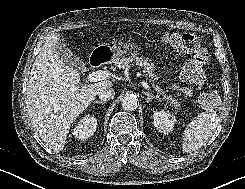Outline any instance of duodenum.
Returning <instances> with one entry per match:
<instances>
[{
  "label": "duodenum",
  "mask_w": 245,
  "mask_h": 189,
  "mask_svg": "<svg viewBox=\"0 0 245 189\" xmlns=\"http://www.w3.org/2000/svg\"><path fill=\"white\" fill-rule=\"evenodd\" d=\"M112 58V53L109 50L97 51L90 57V63L92 66H99L102 63L109 61Z\"/></svg>",
  "instance_id": "duodenum-1"
}]
</instances>
